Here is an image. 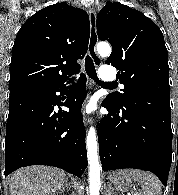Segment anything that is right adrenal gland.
<instances>
[{"instance_id": "right-adrenal-gland-1", "label": "right adrenal gland", "mask_w": 178, "mask_h": 195, "mask_svg": "<svg viewBox=\"0 0 178 195\" xmlns=\"http://www.w3.org/2000/svg\"><path fill=\"white\" fill-rule=\"evenodd\" d=\"M65 189L70 190V185L68 183V179L66 178L65 184L62 186V188L60 189L61 192H64Z\"/></svg>"}]
</instances>
